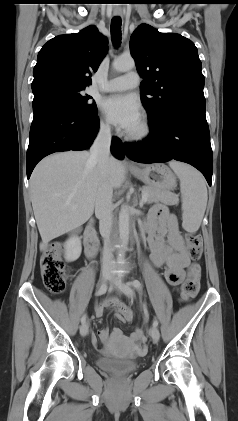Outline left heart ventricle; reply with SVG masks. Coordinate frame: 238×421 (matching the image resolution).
Wrapping results in <instances>:
<instances>
[{"label":"left heart ventricle","instance_id":"obj_1","mask_svg":"<svg viewBox=\"0 0 238 421\" xmlns=\"http://www.w3.org/2000/svg\"><path fill=\"white\" fill-rule=\"evenodd\" d=\"M139 126L140 124L137 127H135L133 130H131L130 132H137L139 130Z\"/></svg>","mask_w":238,"mask_h":421}]
</instances>
